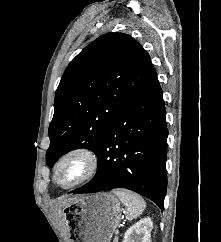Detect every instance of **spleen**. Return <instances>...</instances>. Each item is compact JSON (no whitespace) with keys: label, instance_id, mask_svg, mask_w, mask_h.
I'll return each instance as SVG.
<instances>
[{"label":"spleen","instance_id":"1","mask_svg":"<svg viewBox=\"0 0 221 242\" xmlns=\"http://www.w3.org/2000/svg\"><path fill=\"white\" fill-rule=\"evenodd\" d=\"M113 193L119 197L126 207V218L128 220L136 219L144 211L146 203L140 195L125 189H116L113 190Z\"/></svg>","mask_w":221,"mask_h":242}]
</instances>
